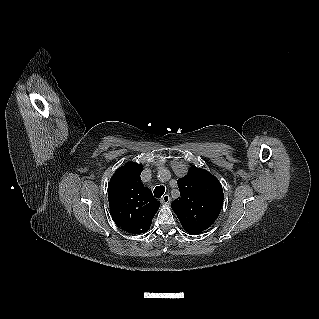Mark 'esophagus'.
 Masks as SVG:
<instances>
[{
  "label": "esophagus",
  "instance_id": "esophagus-1",
  "mask_svg": "<svg viewBox=\"0 0 319 319\" xmlns=\"http://www.w3.org/2000/svg\"><path fill=\"white\" fill-rule=\"evenodd\" d=\"M160 201L163 205H169L170 204V196L168 194H165L162 196Z\"/></svg>",
  "mask_w": 319,
  "mask_h": 319
}]
</instances>
